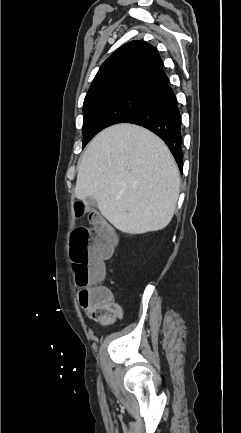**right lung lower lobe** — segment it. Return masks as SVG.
I'll return each instance as SVG.
<instances>
[{
	"label": "right lung lower lobe",
	"mask_w": 241,
	"mask_h": 433,
	"mask_svg": "<svg viewBox=\"0 0 241 433\" xmlns=\"http://www.w3.org/2000/svg\"><path fill=\"white\" fill-rule=\"evenodd\" d=\"M122 123L137 124L158 135L169 147L182 171L181 116L169 82L155 88L142 107Z\"/></svg>",
	"instance_id": "right-lung-lower-lobe-1"
}]
</instances>
